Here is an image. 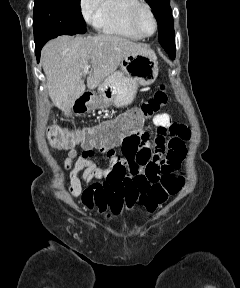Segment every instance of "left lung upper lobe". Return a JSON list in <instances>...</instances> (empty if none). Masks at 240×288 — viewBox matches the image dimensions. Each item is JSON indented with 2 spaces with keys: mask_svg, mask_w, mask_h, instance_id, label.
<instances>
[{
  "mask_svg": "<svg viewBox=\"0 0 240 288\" xmlns=\"http://www.w3.org/2000/svg\"><path fill=\"white\" fill-rule=\"evenodd\" d=\"M153 9L159 26V42L165 50L176 51L174 40V22L170 0H146Z\"/></svg>",
  "mask_w": 240,
  "mask_h": 288,
  "instance_id": "left-lung-upper-lobe-1",
  "label": "left lung upper lobe"
}]
</instances>
